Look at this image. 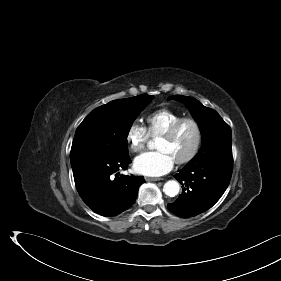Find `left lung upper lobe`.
I'll list each match as a JSON object with an SVG mask.
<instances>
[{"label": "left lung upper lobe", "instance_id": "1", "mask_svg": "<svg viewBox=\"0 0 281 281\" xmlns=\"http://www.w3.org/2000/svg\"><path fill=\"white\" fill-rule=\"evenodd\" d=\"M171 99L185 103L201 129L202 147L190 162L209 157H232L231 129L216 111L192 97L175 95Z\"/></svg>", "mask_w": 281, "mask_h": 281}]
</instances>
